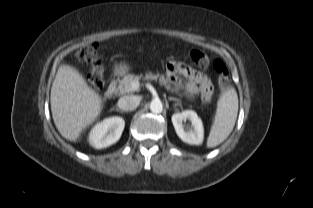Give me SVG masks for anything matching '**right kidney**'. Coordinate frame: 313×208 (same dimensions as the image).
I'll return each mask as SVG.
<instances>
[{
    "label": "right kidney",
    "instance_id": "obj_1",
    "mask_svg": "<svg viewBox=\"0 0 313 208\" xmlns=\"http://www.w3.org/2000/svg\"><path fill=\"white\" fill-rule=\"evenodd\" d=\"M125 121L119 116L109 117L97 123L89 135V143L96 149L109 147L116 143L123 132Z\"/></svg>",
    "mask_w": 313,
    "mask_h": 208
}]
</instances>
